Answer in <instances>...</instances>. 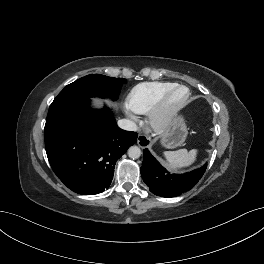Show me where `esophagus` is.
Wrapping results in <instances>:
<instances>
[{
	"label": "esophagus",
	"mask_w": 264,
	"mask_h": 264,
	"mask_svg": "<svg viewBox=\"0 0 264 264\" xmlns=\"http://www.w3.org/2000/svg\"><path fill=\"white\" fill-rule=\"evenodd\" d=\"M137 144L141 147V148H147L150 146V141L149 139L143 135V134H139L138 138H137Z\"/></svg>",
	"instance_id": "esophagus-1"
}]
</instances>
